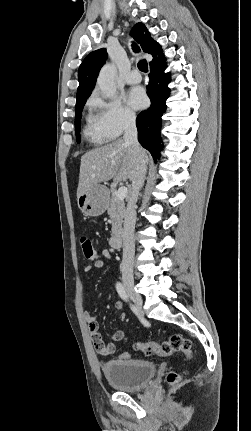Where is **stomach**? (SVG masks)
Wrapping results in <instances>:
<instances>
[{
  "label": "stomach",
  "instance_id": "0dacf381",
  "mask_svg": "<svg viewBox=\"0 0 251 431\" xmlns=\"http://www.w3.org/2000/svg\"><path fill=\"white\" fill-rule=\"evenodd\" d=\"M78 207L85 216L98 217L108 207L109 191L104 185L97 184L78 197Z\"/></svg>",
  "mask_w": 251,
  "mask_h": 431
}]
</instances>
